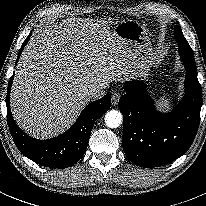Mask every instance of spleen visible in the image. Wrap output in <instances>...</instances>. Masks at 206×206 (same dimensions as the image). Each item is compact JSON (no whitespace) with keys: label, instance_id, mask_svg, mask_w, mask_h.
Masks as SVG:
<instances>
[{"label":"spleen","instance_id":"3e777b00","mask_svg":"<svg viewBox=\"0 0 206 206\" xmlns=\"http://www.w3.org/2000/svg\"><path fill=\"white\" fill-rule=\"evenodd\" d=\"M158 103L161 107H164V108H169L171 106V102L169 101L167 96H162L158 100Z\"/></svg>","mask_w":206,"mask_h":206}]
</instances>
